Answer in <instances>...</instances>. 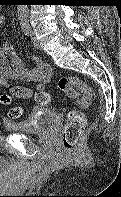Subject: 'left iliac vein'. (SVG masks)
Returning <instances> with one entry per match:
<instances>
[{
  "mask_svg": "<svg viewBox=\"0 0 121 197\" xmlns=\"http://www.w3.org/2000/svg\"><path fill=\"white\" fill-rule=\"evenodd\" d=\"M30 35H31L32 43H33L34 47L38 49L39 48V43H38V41L35 37V32H34L33 29H30Z\"/></svg>",
  "mask_w": 121,
  "mask_h": 197,
  "instance_id": "1",
  "label": "left iliac vein"
}]
</instances>
